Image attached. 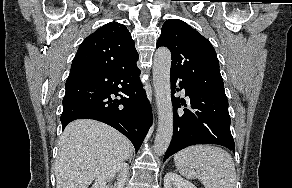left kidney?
Listing matches in <instances>:
<instances>
[{"mask_svg":"<svg viewBox=\"0 0 292 188\" xmlns=\"http://www.w3.org/2000/svg\"><path fill=\"white\" fill-rule=\"evenodd\" d=\"M164 188H197L190 181L182 178L174 172L166 173L164 177Z\"/></svg>","mask_w":292,"mask_h":188,"instance_id":"5707ae66","label":"left kidney"}]
</instances>
